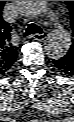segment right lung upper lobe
I'll return each instance as SVG.
<instances>
[{
	"instance_id": "1",
	"label": "right lung upper lobe",
	"mask_w": 74,
	"mask_h": 122,
	"mask_svg": "<svg viewBox=\"0 0 74 122\" xmlns=\"http://www.w3.org/2000/svg\"><path fill=\"white\" fill-rule=\"evenodd\" d=\"M5 1H0V75L10 69L18 56V47L11 40V27L2 19Z\"/></svg>"
}]
</instances>
